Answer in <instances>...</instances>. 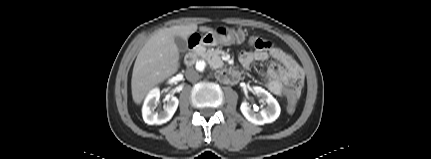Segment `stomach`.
<instances>
[{"mask_svg": "<svg viewBox=\"0 0 431 159\" xmlns=\"http://www.w3.org/2000/svg\"><path fill=\"white\" fill-rule=\"evenodd\" d=\"M245 40V34L240 27L227 28V27H218L214 31L207 32L203 38L202 43L207 46H215V45H233V44H241Z\"/></svg>", "mask_w": 431, "mask_h": 159, "instance_id": "obj_1", "label": "stomach"}]
</instances>
